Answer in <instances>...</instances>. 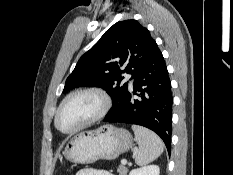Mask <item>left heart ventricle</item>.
Returning a JSON list of instances; mask_svg holds the SVG:
<instances>
[{"mask_svg":"<svg viewBox=\"0 0 233 175\" xmlns=\"http://www.w3.org/2000/svg\"><path fill=\"white\" fill-rule=\"evenodd\" d=\"M99 108L100 100L95 95H76L63 106L58 124L63 130H70L93 116Z\"/></svg>","mask_w":233,"mask_h":175,"instance_id":"obj_1","label":"left heart ventricle"}]
</instances>
